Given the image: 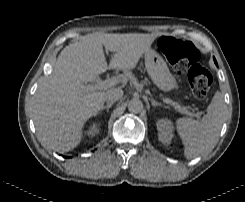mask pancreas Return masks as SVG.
Here are the masks:
<instances>
[{"instance_id":"1","label":"pancreas","mask_w":245,"mask_h":202,"mask_svg":"<svg viewBox=\"0 0 245 202\" xmlns=\"http://www.w3.org/2000/svg\"><path fill=\"white\" fill-rule=\"evenodd\" d=\"M175 103H176L177 106L185 109L186 111H188L190 109V107H188V106L184 107V106H181L178 102H175Z\"/></svg>"}]
</instances>
